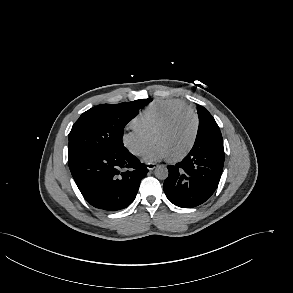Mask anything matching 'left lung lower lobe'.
<instances>
[{"mask_svg":"<svg viewBox=\"0 0 293 293\" xmlns=\"http://www.w3.org/2000/svg\"><path fill=\"white\" fill-rule=\"evenodd\" d=\"M223 164V140L216 137L195 140L181 162L167 166L169 175L163 186L167 198L182 208L204 203L219 184Z\"/></svg>","mask_w":293,"mask_h":293,"instance_id":"left-lung-lower-lobe-1","label":"left lung lower lobe"}]
</instances>
